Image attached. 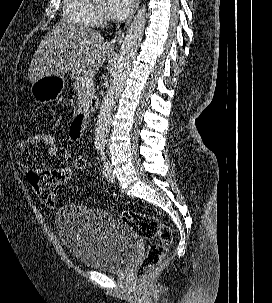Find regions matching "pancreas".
Wrapping results in <instances>:
<instances>
[{
  "instance_id": "obj_1",
  "label": "pancreas",
  "mask_w": 272,
  "mask_h": 303,
  "mask_svg": "<svg viewBox=\"0 0 272 303\" xmlns=\"http://www.w3.org/2000/svg\"><path fill=\"white\" fill-rule=\"evenodd\" d=\"M83 76H76L73 88L78 94V105L80 106H88L91 99L94 97L95 87L94 84L90 86L82 85L81 78Z\"/></svg>"
}]
</instances>
